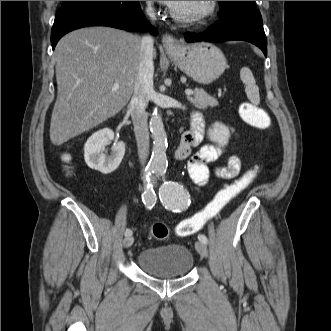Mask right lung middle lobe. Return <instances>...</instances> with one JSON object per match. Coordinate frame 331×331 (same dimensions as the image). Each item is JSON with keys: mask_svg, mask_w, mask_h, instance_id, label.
<instances>
[{"mask_svg": "<svg viewBox=\"0 0 331 331\" xmlns=\"http://www.w3.org/2000/svg\"><path fill=\"white\" fill-rule=\"evenodd\" d=\"M80 2H85V1H63L62 7L70 6V5H73V4H76V3H80Z\"/></svg>", "mask_w": 331, "mask_h": 331, "instance_id": "1", "label": "right lung middle lobe"}]
</instances>
